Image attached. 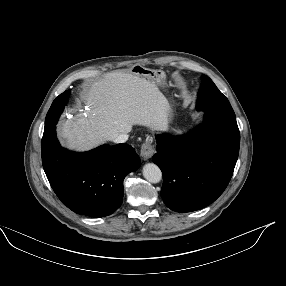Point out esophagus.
I'll list each match as a JSON object with an SVG mask.
<instances>
[{"label": "esophagus", "instance_id": "1", "mask_svg": "<svg viewBox=\"0 0 286 286\" xmlns=\"http://www.w3.org/2000/svg\"><path fill=\"white\" fill-rule=\"evenodd\" d=\"M154 153H155V148L152 144V138H148L141 147L140 156L143 160L147 161L152 158Z\"/></svg>", "mask_w": 286, "mask_h": 286}]
</instances>
